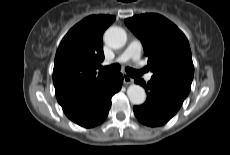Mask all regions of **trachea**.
<instances>
[{
	"instance_id": "1",
	"label": "trachea",
	"mask_w": 230,
	"mask_h": 155,
	"mask_svg": "<svg viewBox=\"0 0 230 155\" xmlns=\"http://www.w3.org/2000/svg\"><path fill=\"white\" fill-rule=\"evenodd\" d=\"M120 69H121V67H120L119 64H113V65H110V66L101 67V71H103V72H114V73H117V72L120 71ZM126 73L130 77H133V78H136V77H139V76L142 75V71H137V70H134V69L129 68V67L126 68Z\"/></svg>"
}]
</instances>
